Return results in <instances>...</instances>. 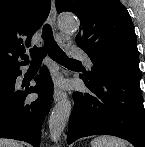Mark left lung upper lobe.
Here are the masks:
<instances>
[{"mask_svg": "<svg viewBox=\"0 0 145 147\" xmlns=\"http://www.w3.org/2000/svg\"><path fill=\"white\" fill-rule=\"evenodd\" d=\"M58 13L73 12L81 27L77 45L93 62L89 77L97 68L114 64L139 66L134 25L125 6L119 0H56Z\"/></svg>", "mask_w": 145, "mask_h": 147, "instance_id": "left-lung-upper-lobe-1", "label": "left lung upper lobe"}]
</instances>
